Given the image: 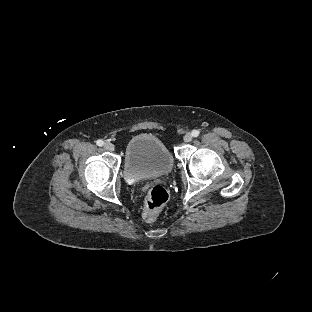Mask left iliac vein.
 <instances>
[{
    "label": "left iliac vein",
    "mask_w": 312,
    "mask_h": 312,
    "mask_svg": "<svg viewBox=\"0 0 312 312\" xmlns=\"http://www.w3.org/2000/svg\"><path fill=\"white\" fill-rule=\"evenodd\" d=\"M192 139H193V136H192L191 133L185 134V136H184V141L185 142H190V141H192Z\"/></svg>",
    "instance_id": "left-iliac-vein-1"
}]
</instances>
